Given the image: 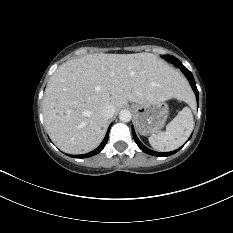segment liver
Returning a JSON list of instances; mask_svg holds the SVG:
<instances>
[{"label":"liver","instance_id":"6515ba94","mask_svg":"<svg viewBox=\"0 0 233 233\" xmlns=\"http://www.w3.org/2000/svg\"><path fill=\"white\" fill-rule=\"evenodd\" d=\"M189 93L180 73L154 54H90L66 61L52 75L43 100L45 127L60 150L83 154L104 138L106 104L119 111L129 101L184 100Z\"/></svg>","mask_w":233,"mask_h":233}]
</instances>
